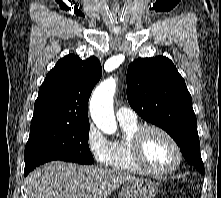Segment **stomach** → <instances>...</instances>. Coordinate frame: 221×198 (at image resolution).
<instances>
[{
  "label": "stomach",
  "mask_w": 221,
  "mask_h": 198,
  "mask_svg": "<svg viewBox=\"0 0 221 198\" xmlns=\"http://www.w3.org/2000/svg\"><path fill=\"white\" fill-rule=\"evenodd\" d=\"M158 193L155 182L146 179H134L125 183L118 198H153ZM115 198V197H114Z\"/></svg>",
  "instance_id": "0dacf381"
}]
</instances>
